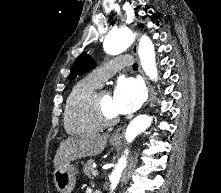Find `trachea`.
<instances>
[{"mask_svg":"<svg viewBox=\"0 0 221 193\" xmlns=\"http://www.w3.org/2000/svg\"><path fill=\"white\" fill-rule=\"evenodd\" d=\"M133 68H138V64L137 63L133 64Z\"/></svg>","mask_w":221,"mask_h":193,"instance_id":"trachea-1","label":"trachea"}]
</instances>
